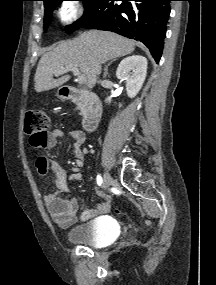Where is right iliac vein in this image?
Segmentation results:
<instances>
[{"label": "right iliac vein", "instance_id": "obj_1", "mask_svg": "<svg viewBox=\"0 0 216 285\" xmlns=\"http://www.w3.org/2000/svg\"><path fill=\"white\" fill-rule=\"evenodd\" d=\"M111 183H112V178H111L110 174L107 171H105L104 177H103L104 189H108L110 187Z\"/></svg>", "mask_w": 216, "mask_h": 285}]
</instances>
